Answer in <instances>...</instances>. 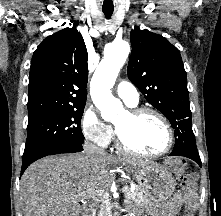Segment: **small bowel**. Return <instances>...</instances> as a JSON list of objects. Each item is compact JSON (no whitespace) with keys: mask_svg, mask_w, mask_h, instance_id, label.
Wrapping results in <instances>:
<instances>
[{"mask_svg":"<svg viewBox=\"0 0 221 216\" xmlns=\"http://www.w3.org/2000/svg\"><path fill=\"white\" fill-rule=\"evenodd\" d=\"M184 208V216H194L196 198L185 194L176 193L162 209L160 216H176L180 208Z\"/></svg>","mask_w":221,"mask_h":216,"instance_id":"small-bowel-1","label":"small bowel"}]
</instances>
